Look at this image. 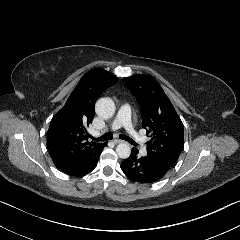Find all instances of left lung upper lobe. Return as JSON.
Listing matches in <instances>:
<instances>
[{
  "label": "left lung upper lobe",
  "mask_w": 240,
  "mask_h": 240,
  "mask_svg": "<svg viewBox=\"0 0 240 240\" xmlns=\"http://www.w3.org/2000/svg\"><path fill=\"white\" fill-rule=\"evenodd\" d=\"M140 105L142 126L153 136L147 143V155L155 163L171 168L184 143V127L172 103L158 82L148 75L124 78Z\"/></svg>",
  "instance_id": "obj_1"
}]
</instances>
